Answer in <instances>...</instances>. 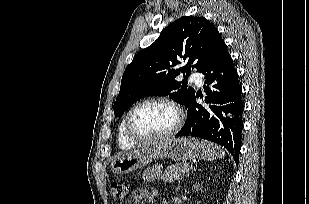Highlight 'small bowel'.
Wrapping results in <instances>:
<instances>
[{
    "instance_id": "c3829d8e",
    "label": "small bowel",
    "mask_w": 309,
    "mask_h": 204,
    "mask_svg": "<svg viewBox=\"0 0 309 204\" xmlns=\"http://www.w3.org/2000/svg\"><path fill=\"white\" fill-rule=\"evenodd\" d=\"M157 171H158V169H156V168L148 169V170L146 171L145 175H144V178H145L146 180H152V179H154V177H155ZM138 198H139V196H136V197H135V200L137 201Z\"/></svg>"
}]
</instances>
